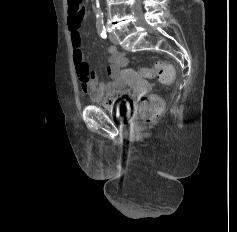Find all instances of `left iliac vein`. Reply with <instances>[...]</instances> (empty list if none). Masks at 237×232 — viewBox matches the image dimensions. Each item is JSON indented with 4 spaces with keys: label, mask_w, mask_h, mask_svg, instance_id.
<instances>
[{
    "label": "left iliac vein",
    "mask_w": 237,
    "mask_h": 232,
    "mask_svg": "<svg viewBox=\"0 0 237 232\" xmlns=\"http://www.w3.org/2000/svg\"><path fill=\"white\" fill-rule=\"evenodd\" d=\"M109 39L113 44H118V39L114 34H110Z\"/></svg>",
    "instance_id": "4c4485c4"
}]
</instances>
